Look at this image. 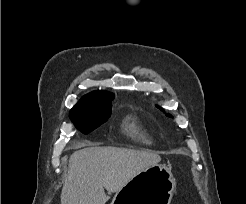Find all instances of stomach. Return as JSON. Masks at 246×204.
<instances>
[{
  "label": "stomach",
  "mask_w": 246,
  "mask_h": 204,
  "mask_svg": "<svg viewBox=\"0 0 246 204\" xmlns=\"http://www.w3.org/2000/svg\"><path fill=\"white\" fill-rule=\"evenodd\" d=\"M174 188L171 171L157 164L130 179L115 194L111 204H170Z\"/></svg>",
  "instance_id": "stomach-1"
}]
</instances>
